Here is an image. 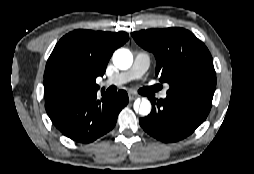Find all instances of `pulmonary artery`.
Instances as JSON below:
<instances>
[{
	"label": "pulmonary artery",
	"mask_w": 254,
	"mask_h": 174,
	"mask_svg": "<svg viewBox=\"0 0 254 174\" xmlns=\"http://www.w3.org/2000/svg\"><path fill=\"white\" fill-rule=\"evenodd\" d=\"M150 65V56L148 53L140 51L136 54L133 65L130 69L122 71L104 81V85H122L131 80L140 78ZM160 97H167L166 90L160 93Z\"/></svg>",
	"instance_id": "e3ab8cb5"
}]
</instances>
